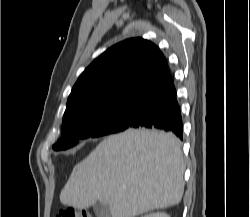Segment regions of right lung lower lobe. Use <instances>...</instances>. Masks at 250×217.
I'll use <instances>...</instances> for the list:
<instances>
[{
    "label": "right lung lower lobe",
    "instance_id": "obj_1",
    "mask_svg": "<svg viewBox=\"0 0 250 217\" xmlns=\"http://www.w3.org/2000/svg\"><path fill=\"white\" fill-rule=\"evenodd\" d=\"M128 128H152L183 139L182 117L173 79L145 94L139 101Z\"/></svg>",
    "mask_w": 250,
    "mask_h": 217
}]
</instances>
